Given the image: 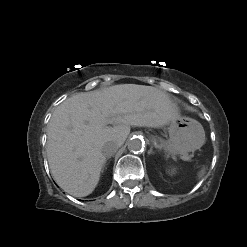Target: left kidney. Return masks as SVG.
<instances>
[{"instance_id":"5707ae66","label":"left kidney","mask_w":247,"mask_h":247,"mask_svg":"<svg viewBox=\"0 0 247 247\" xmlns=\"http://www.w3.org/2000/svg\"><path fill=\"white\" fill-rule=\"evenodd\" d=\"M170 174H173L175 172V169H171V171H168Z\"/></svg>"}]
</instances>
